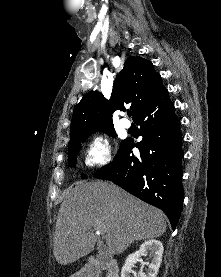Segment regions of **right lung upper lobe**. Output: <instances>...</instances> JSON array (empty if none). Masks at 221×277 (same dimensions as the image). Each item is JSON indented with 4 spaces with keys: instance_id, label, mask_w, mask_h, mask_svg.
<instances>
[{
    "instance_id": "cb5924a9",
    "label": "right lung upper lobe",
    "mask_w": 221,
    "mask_h": 277,
    "mask_svg": "<svg viewBox=\"0 0 221 277\" xmlns=\"http://www.w3.org/2000/svg\"><path fill=\"white\" fill-rule=\"evenodd\" d=\"M165 90L161 76L150 61L130 56L115 79L109 101L102 93L91 91L75 106L70 137L91 128L113 125L112 113L122 110L125 104H131L134 119Z\"/></svg>"
}]
</instances>
